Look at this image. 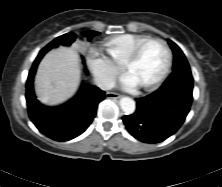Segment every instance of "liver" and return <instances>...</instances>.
I'll list each match as a JSON object with an SVG mask.
<instances>
[{"instance_id": "liver-1", "label": "liver", "mask_w": 222, "mask_h": 187, "mask_svg": "<svg viewBox=\"0 0 222 187\" xmlns=\"http://www.w3.org/2000/svg\"><path fill=\"white\" fill-rule=\"evenodd\" d=\"M80 57L73 47L49 51L39 64L35 90L39 101L57 105L72 97L80 81Z\"/></svg>"}]
</instances>
